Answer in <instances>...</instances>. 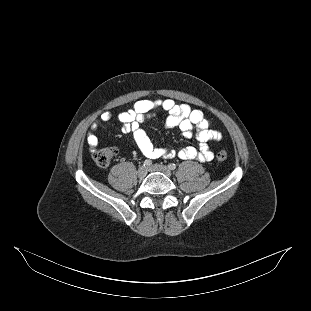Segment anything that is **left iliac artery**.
Wrapping results in <instances>:
<instances>
[{
    "label": "left iliac artery",
    "instance_id": "1",
    "mask_svg": "<svg viewBox=\"0 0 311 311\" xmlns=\"http://www.w3.org/2000/svg\"><path fill=\"white\" fill-rule=\"evenodd\" d=\"M168 168L170 170H175L176 169V165L174 163H170V164H168Z\"/></svg>",
    "mask_w": 311,
    "mask_h": 311
}]
</instances>
